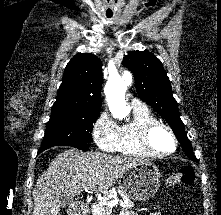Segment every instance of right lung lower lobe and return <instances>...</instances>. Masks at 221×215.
Listing matches in <instances>:
<instances>
[{
  "label": "right lung lower lobe",
  "mask_w": 221,
  "mask_h": 215,
  "mask_svg": "<svg viewBox=\"0 0 221 215\" xmlns=\"http://www.w3.org/2000/svg\"><path fill=\"white\" fill-rule=\"evenodd\" d=\"M72 147H75V148H78V149H81L83 151H86L88 150V143H76V144H72L71 145ZM50 147H41L40 150L38 151V154H40L41 152H43L44 150L48 149Z\"/></svg>",
  "instance_id": "obj_1"
}]
</instances>
